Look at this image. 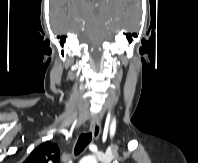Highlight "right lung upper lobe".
Here are the masks:
<instances>
[{"mask_svg":"<svg viewBox=\"0 0 198 163\" xmlns=\"http://www.w3.org/2000/svg\"><path fill=\"white\" fill-rule=\"evenodd\" d=\"M60 152L56 144L46 141L34 149L23 163H60Z\"/></svg>","mask_w":198,"mask_h":163,"instance_id":"1","label":"right lung upper lobe"}]
</instances>
